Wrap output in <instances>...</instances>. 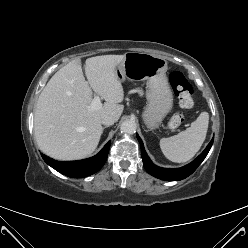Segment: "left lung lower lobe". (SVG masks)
<instances>
[{
	"mask_svg": "<svg viewBox=\"0 0 248 248\" xmlns=\"http://www.w3.org/2000/svg\"><path fill=\"white\" fill-rule=\"evenodd\" d=\"M136 136L140 143L144 168L152 176L166 181L182 180L188 177L189 175H191L207 156L214 140V138H212V140L207 145L205 150L195 160H193L191 163L187 164L186 166H183L181 168H161L156 166L150 160L144 149V145L141 138L138 136V134Z\"/></svg>",
	"mask_w": 248,
	"mask_h": 248,
	"instance_id": "obj_1",
	"label": "left lung lower lobe"
}]
</instances>
